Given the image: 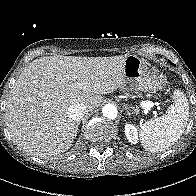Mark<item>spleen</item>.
Listing matches in <instances>:
<instances>
[{
    "label": "spleen",
    "mask_w": 196,
    "mask_h": 196,
    "mask_svg": "<svg viewBox=\"0 0 196 196\" xmlns=\"http://www.w3.org/2000/svg\"><path fill=\"white\" fill-rule=\"evenodd\" d=\"M175 103L168 107L166 114L140 123L139 138L141 145L151 152L167 149L177 142L189 120V103L183 92H174Z\"/></svg>",
    "instance_id": "3e777b00"
}]
</instances>
